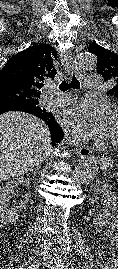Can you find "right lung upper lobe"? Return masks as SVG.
I'll return each instance as SVG.
<instances>
[{
  "mask_svg": "<svg viewBox=\"0 0 118 269\" xmlns=\"http://www.w3.org/2000/svg\"><path fill=\"white\" fill-rule=\"evenodd\" d=\"M56 56L48 44L29 47L12 56L0 70V103L26 100L33 114L48 123L52 136L59 125L52 113L39 106V99L44 85L56 74Z\"/></svg>",
  "mask_w": 118,
  "mask_h": 269,
  "instance_id": "right-lung-upper-lobe-1",
  "label": "right lung upper lobe"
}]
</instances>
